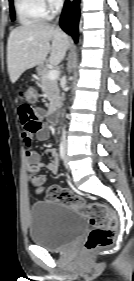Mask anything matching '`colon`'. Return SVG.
Returning <instances> with one entry per match:
<instances>
[{"instance_id":"colon-1","label":"colon","mask_w":134,"mask_h":281,"mask_svg":"<svg viewBox=\"0 0 134 281\" xmlns=\"http://www.w3.org/2000/svg\"><path fill=\"white\" fill-rule=\"evenodd\" d=\"M25 100L29 104L38 101V92L29 87L25 92ZM30 182L40 187L43 177L37 169L29 171ZM45 196L50 201L60 202L81 211L89 220L92 229L84 242L86 251L91 252L102 247L110 246L115 239L118 220L115 214L102 203H87L71 190L59 186H51L45 190Z\"/></svg>"}]
</instances>
